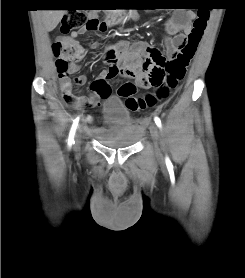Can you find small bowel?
Listing matches in <instances>:
<instances>
[{
	"label": "small bowel",
	"mask_w": 245,
	"mask_h": 278,
	"mask_svg": "<svg viewBox=\"0 0 245 278\" xmlns=\"http://www.w3.org/2000/svg\"><path fill=\"white\" fill-rule=\"evenodd\" d=\"M193 17V13H178L166 21L163 42L166 53L170 58L179 54L182 46L187 42L188 35L192 31L191 20ZM106 29L107 24L101 22L97 31L103 33ZM82 33L83 31L73 32L68 36L60 38L64 43L78 46L82 49V53L75 60L71 61L68 66V74H75L80 70L79 61L84 57L85 50L79 45L76 38ZM100 46L99 41H93L90 45L92 49L99 48ZM157 55H161L160 50L153 44L146 42H137L132 46L126 42H120L110 46L103 56V60L109 65V68L107 71L100 72L92 86L91 95L94 100V106H97L102 99L108 96L110 92L109 81L111 78L117 76H135L136 82L140 87H148L143 78L145 73L150 71L154 66ZM85 80L84 76L78 77L79 82H85ZM60 86L62 91L70 89V79H60ZM92 130L96 135L99 133L98 127H93Z\"/></svg>",
	"instance_id": "c3829d8e"
}]
</instances>
